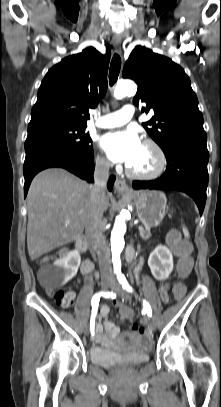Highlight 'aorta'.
<instances>
[{"label": "aorta", "instance_id": "762f6f07", "mask_svg": "<svg viewBox=\"0 0 221 407\" xmlns=\"http://www.w3.org/2000/svg\"><path fill=\"white\" fill-rule=\"evenodd\" d=\"M137 91V86L134 82L130 80L120 81L115 90L114 96L117 99H121L124 96H133ZM130 217V212L127 210H122L119 216H117L114 223L113 230L111 232V252H112V263L114 271L119 280L123 279L124 276L121 272V259L120 255L124 248V234L126 232V219Z\"/></svg>", "mask_w": 221, "mask_h": 407}]
</instances>
